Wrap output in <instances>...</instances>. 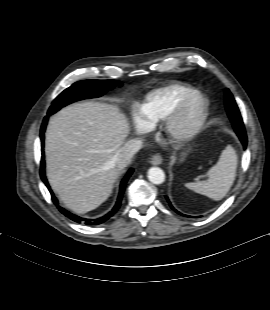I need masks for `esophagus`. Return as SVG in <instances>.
Here are the masks:
<instances>
[{"label": "esophagus", "mask_w": 270, "mask_h": 310, "mask_svg": "<svg viewBox=\"0 0 270 310\" xmlns=\"http://www.w3.org/2000/svg\"><path fill=\"white\" fill-rule=\"evenodd\" d=\"M162 161H163L162 156L160 154H155V155L152 156L150 163L152 165L157 166V165L162 164Z\"/></svg>", "instance_id": "obj_1"}]
</instances>
